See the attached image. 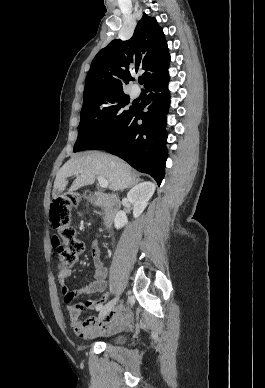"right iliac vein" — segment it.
Instances as JSON below:
<instances>
[{
  "label": "right iliac vein",
  "instance_id": "63e3f726",
  "mask_svg": "<svg viewBox=\"0 0 265 388\" xmlns=\"http://www.w3.org/2000/svg\"><path fill=\"white\" fill-rule=\"evenodd\" d=\"M118 298H114L110 302H108L100 311L99 313V319H103L111 310L112 308L117 304Z\"/></svg>",
  "mask_w": 265,
  "mask_h": 388
}]
</instances>
